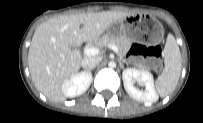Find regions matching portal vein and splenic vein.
Wrapping results in <instances>:
<instances>
[{
    "label": "portal vein and splenic vein",
    "instance_id": "portal-vein-and-splenic-vein-1",
    "mask_svg": "<svg viewBox=\"0 0 203 123\" xmlns=\"http://www.w3.org/2000/svg\"><path fill=\"white\" fill-rule=\"evenodd\" d=\"M108 48H110L111 50H113L114 52H118V47L114 44L108 43L106 45ZM100 50L97 47H87L84 49V53L87 56H95L97 54H99Z\"/></svg>",
    "mask_w": 203,
    "mask_h": 123
}]
</instances>
